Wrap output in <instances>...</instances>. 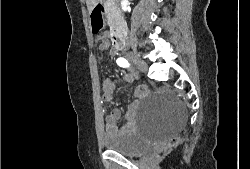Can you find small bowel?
I'll return each mask as SVG.
<instances>
[{"label": "small bowel", "mask_w": 250, "mask_h": 169, "mask_svg": "<svg viewBox=\"0 0 250 169\" xmlns=\"http://www.w3.org/2000/svg\"><path fill=\"white\" fill-rule=\"evenodd\" d=\"M99 46L102 50H107L110 46L108 36L101 34L98 35L96 38ZM137 79L136 75L133 73H126L124 74L119 80H115L112 78H107L103 82V97L107 102H112L114 100V93L118 83H133ZM147 94V87L146 86H139L135 89V101L130 106L127 112V119L128 122L123 125L120 129L123 133H131L135 130V112L136 109L139 107L140 101L145 97ZM121 116V112L119 109H113L111 113L106 118V131L108 134H113L119 131L117 127V121Z\"/></svg>", "instance_id": "c3829d8e"}]
</instances>
